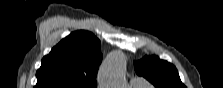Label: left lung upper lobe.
<instances>
[{
	"label": "left lung upper lobe",
	"mask_w": 223,
	"mask_h": 88,
	"mask_svg": "<svg viewBox=\"0 0 223 88\" xmlns=\"http://www.w3.org/2000/svg\"><path fill=\"white\" fill-rule=\"evenodd\" d=\"M134 68L138 75L145 77L156 88H186L176 67L157 56L144 57L134 63Z\"/></svg>",
	"instance_id": "1"
}]
</instances>
